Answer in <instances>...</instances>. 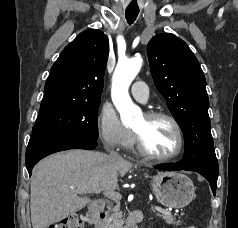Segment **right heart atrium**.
Listing matches in <instances>:
<instances>
[{"mask_svg": "<svg viewBox=\"0 0 238 228\" xmlns=\"http://www.w3.org/2000/svg\"><path fill=\"white\" fill-rule=\"evenodd\" d=\"M97 129L103 145L112 150L125 148L133 137L131 131L122 124L115 109L107 103L99 112Z\"/></svg>", "mask_w": 238, "mask_h": 228, "instance_id": "right-heart-atrium-1", "label": "right heart atrium"}]
</instances>
